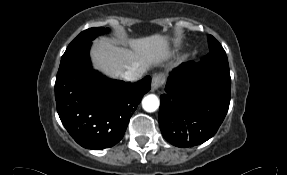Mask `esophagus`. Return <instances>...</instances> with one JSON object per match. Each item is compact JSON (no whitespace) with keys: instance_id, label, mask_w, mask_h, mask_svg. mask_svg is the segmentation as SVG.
Here are the masks:
<instances>
[{"instance_id":"1","label":"esophagus","mask_w":287,"mask_h":175,"mask_svg":"<svg viewBox=\"0 0 287 175\" xmlns=\"http://www.w3.org/2000/svg\"><path fill=\"white\" fill-rule=\"evenodd\" d=\"M164 81L165 79L162 74L154 75L151 82V90L156 91L164 83Z\"/></svg>"}]
</instances>
